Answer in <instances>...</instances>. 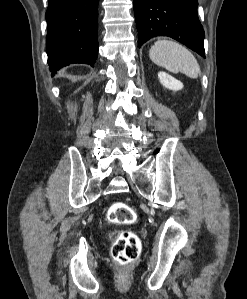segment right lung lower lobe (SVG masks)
Here are the masks:
<instances>
[{"label": "right lung lower lobe", "instance_id": "98d812e1", "mask_svg": "<svg viewBox=\"0 0 247 299\" xmlns=\"http://www.w3.org/2000/svg\"><path fill=\"white\" fill-rule=\"evenodd\" d=\"M98 3L99 0H49L46 45L53 74L72 63L94 66L98 55Z\"/></svg>", "mask_w": 247, "mask_h": 299}]
</instances>
